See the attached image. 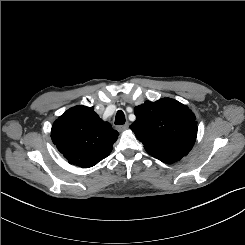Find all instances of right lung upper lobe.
I'll return each mask as SVG.
<instances>
[{
    "label": "right lung upper lobe",
    "mask_w": 245,
    "mask_h": 245,
    "mask_svg": "<svg viewBox=\"0 0 245 245\" xmlns=\"http://www.w3.org/2000/svg\"><path fill=\"white\" fill-rule=\"evenodd\" d=\"M118 132L94 112L93 107L75 106L53 124L51 139L70 164L88 168L107 157Z\"/></svg>",
    "instance_id": "cb5924a9"
}]
</instances>
